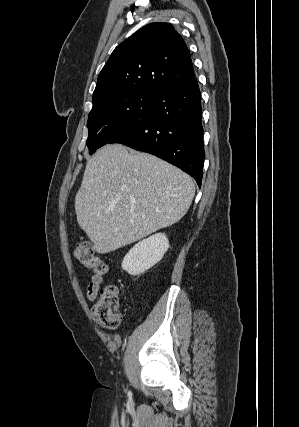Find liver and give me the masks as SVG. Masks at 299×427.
<instances>
[{"instance_id":"6515ba94","label":"liver","mask_w":299,"mask_h":427,"mask_svg":"<svg viewBox=\"0 0 299 427\" xmlns=\"http://www.w3.org/2000/svg\"><path fill=\"white\" fill-rule=\"evenodd\" d=\"M194 194L193 179L179 168L108 144L87 161L75 211L93 250L105 254L178 222Z\"/></svg>"}]
</instances>
